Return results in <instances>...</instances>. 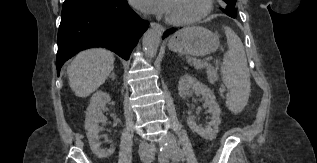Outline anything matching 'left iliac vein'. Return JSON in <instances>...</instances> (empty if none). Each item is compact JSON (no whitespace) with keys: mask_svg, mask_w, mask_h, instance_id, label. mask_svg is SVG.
Instances as JSON below:
<instances>
[{"mask_svg":"<svg viewBox=\"0 0 317 163\" xmlns=\"http://www.w3.org/2000/svg\"><path fill=\"white\" fill-rule=\"evenodd\" d=\"M172 159H173V161H176V160H178V157L173 153L172 154Z\"/></svg>","mask_w":317,"mask_h":163,"instance_id":"left-iliac-vein-1","label":"left iliac vein"}]
</instances>
